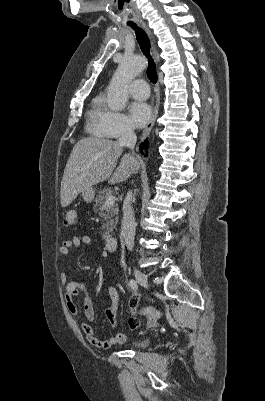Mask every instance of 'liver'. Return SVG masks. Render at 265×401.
I'll list each match as a JSON object with an SVG mask.
<instances>
[{
  "label": "liver",
  "mask_w": 265,
  "mask_h": 401,
  "mask_svg": "<svg viewBox=\"0 0 265 401\" xmlns=\"http://www.w3.org/2000/svg\"><path fill=\"white\" fill-rule=\"evenodd\" d=\"M123 146L109 138H81L76 142L66 164L61 180V205L68 207L79 192L93 184L107 180L110 184L127 180L132 172H138L140 162L131 154H123L119 166L113 172ZM113 172V174H112Z\"/></svg>",
  "instance_id": "1"
}]
</instances>
